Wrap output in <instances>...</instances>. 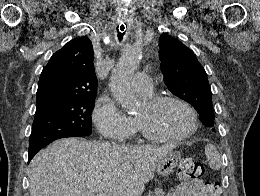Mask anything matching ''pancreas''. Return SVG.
<instances>
[{
  "mask_svg": "<svg viewBox=\"0 0 260 196\" xmlns=\"http://www.w3.org/2000/svg\"><path fill=\"white\" fill-rule=\"evenodd\" d=\"M150 196H165V192L161 188H155L154 192H150Z\"/></svg>",
  "mask_w": 260,
  "mask_h": 196,
  "instance_id": "obj_1",
  "label": "pancreas"
}]
</instances>
